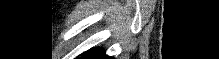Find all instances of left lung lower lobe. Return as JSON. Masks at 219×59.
I'll return each mask as SVG.
<instances>
[{
  "label": "left lung lower lobe",
  "instance_id": "left-lung-lower-lobe-1",
  "mask_svg": "<svg viewBox=\"0 0 219 59\" xmlns=\"http://www.w3.org/2000/svg\"><path fill=\"white\" fill-rule=\"evenodd\" d=\"M82 56L76 57V59H113L112 57H109L105 54V51L100 48H92L87 50L86 52H83L81 54Z\"/></svg>",
  "mask_w": 219,
  "mask_h": 59
}]
</instances>
